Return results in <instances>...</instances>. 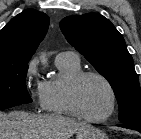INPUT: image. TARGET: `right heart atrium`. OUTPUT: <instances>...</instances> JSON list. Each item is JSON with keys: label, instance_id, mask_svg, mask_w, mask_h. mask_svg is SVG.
Returning <instances> with one entry per match:
<instances>
[{"label": "right heart atrium", "instance_id": "right-heart-atrium-1", "mask_svg": "<svg viewBox=\"0 0 141 139\" xmlns=\"http://www.w3.org/2000/svg\"><path fill=\"white\" fill-rule=\"evenodd\" d=\"M37 63L35 60H30L26 66L24 80L28 89L29 95L38 109H45V101L43 95V82L38 81Z\"/></svg>", "mask_w": 141, "mask_h": 139}]
</instances>
